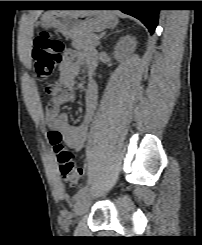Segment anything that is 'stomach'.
<instances>
[{
	"label": "stomach",
	"mask_w": 202,
	"mask_h": 245,
	"mask_svg": "<svg viewBox=\"0 0 202 245\" xmlns=\"http://www.w3.org/2000/svg\"><path fill=\"white\" fill-rule=\"evenodd\" d=\"M118 24L116 15L107 10L48 11L41 18L44 29L56 28L63 36L74 38L84 32H100Z\"/></svg>",
	"instance_id": "obj_1"
}]
</instances>
